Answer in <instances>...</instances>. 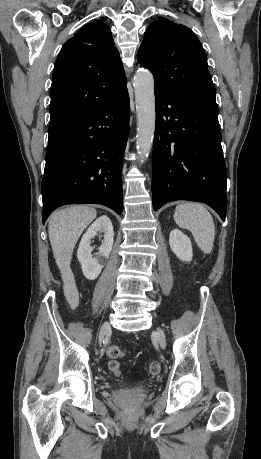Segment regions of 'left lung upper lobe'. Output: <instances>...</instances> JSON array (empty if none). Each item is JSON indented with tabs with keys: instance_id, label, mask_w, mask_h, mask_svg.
<instances>
[{
	"instance_id": "left-lung-upper-lobe-1",
	"label": "left lung upper lobe",
	"mask_w": 261,
	"mask_h": 459,
	"mask_svg": "<svg viewBox=\"0 0 261 459\" xmlns=\"http://www.w3.org/2000/svg\"><path fill=\"white\" fill-rule=\"evenodd\" d=\"M137 59L153 73L155 88L184 99L216 104L206 54L186 26L167 19L152 23L145 32Z\"/></svg>"
}]
</instances>
